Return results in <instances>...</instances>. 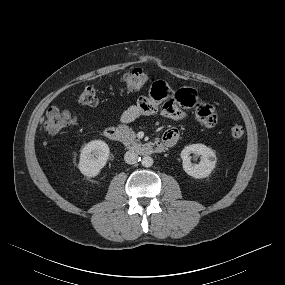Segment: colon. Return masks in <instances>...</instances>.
Listing matches in <instances>:
<instances>
[{"instance_id": "obj_1", "label": "colon", "mask_w": 285, "mask_h": 285, "mask_svg": "<svg viewBox=\"0 0 285 285\" xmlns=\"http://www.w3.org/2000/svg\"><path fill=\"white\" fill-rule=\"evenodd\" d=\"M123 82L128 91H136L152 83L153 80L143 70L133 69L124 74ZM77 102L84 106L97 107L99 98L96 89L86 86L77 96ZM74 121L75 118L70 111L51 107L46 112L43 128L48 134L55 135L73 125ZM227 133L231 139L240 140L244 135V128L240 124L232 123L228 126Z\"/></svg>"}]
</instances>
